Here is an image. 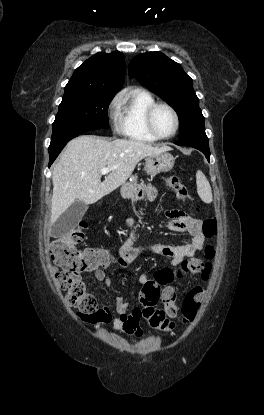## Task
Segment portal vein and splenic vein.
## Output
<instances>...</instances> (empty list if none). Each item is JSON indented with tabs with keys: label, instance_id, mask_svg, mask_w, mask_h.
<instances>
[{
	"label": "portal vein and splenic vein",
	"instance_id": "portal-vein-and-splenic-vein-1",
	"mask_svg": "<svg viewBox=\"0 0 264 415\" xmlns=\"http://www.w3.org/2000/svg\"><path fill=\"white\" fill-rule=\"evenodd\" d=\"M115 168L116 167H106V168L101 169L100 173H101V175H106V174H108L109 172H111Z\"/></svg>",
	"mask_w": 264,
	"mask_h": 415
}]
</instances>
